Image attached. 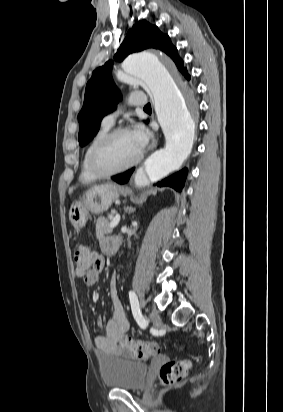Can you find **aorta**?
Listing matches in <instances>:
<instances>
[{
	"mask_svg": "<svg viewBox=\"0 0 283 412\" xmlns=\"http://www.w3.org/2000/svg\"><path fill=\"white\" fill-rule=\"evenodd\" d=\"M120 81L142 83L153 97L158 121L165 135L164 148L144 163L143 172L156 182L177 170L191 152L195 122L188 109L190 93L180 86L169 69V60L157 52L129 56L122 64Z\"/></svg>",
	"mask_w": 283,
	"mask_h": 412,
	"instance_id": "1",
	"label": "aorta"
}]
</instances>
